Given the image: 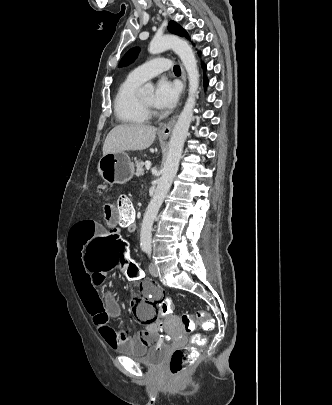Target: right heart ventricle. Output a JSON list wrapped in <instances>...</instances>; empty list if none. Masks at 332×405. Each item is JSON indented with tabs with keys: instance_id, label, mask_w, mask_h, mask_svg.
<instances>
[{
	"instance_id": "e07e8e85",
	"label": "right heart ventricle",
	"mask_w": 332,
	"mask_h": 405,
	"mask_svg": "<svg viewBox=\"0 0 332 405\" xmlns=\"http://www.w3.org/2000/svg\"><path fill=\"white\" fill-rule=\"evenodd\" d=\"M141 84L128 77L118 88L114 98V113L120 123L138 125L148 121L149 116L143 109L137 94Z\"/></svg>"
}]
</instances>
